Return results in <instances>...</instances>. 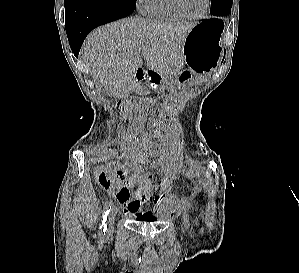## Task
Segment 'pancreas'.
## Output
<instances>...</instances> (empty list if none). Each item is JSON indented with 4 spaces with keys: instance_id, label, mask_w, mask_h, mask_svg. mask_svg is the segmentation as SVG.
Segmentation results:
<instances>
[{
    "instance_id": "obj_1",
    "label": "pancreas",
    "mask_w": 299,
    "mask_h": 273,
    "mask_svg": "<svg viewBox=\"0 0 299 273\" xmlns=\"http://www.w3.org/2000/svg\"><path fill=\"white\" fill-rule=\"evenodd\" d=\"M139 90H143V88H142V87H140V88H139Z\"/></svg>"
}]
</instances>
